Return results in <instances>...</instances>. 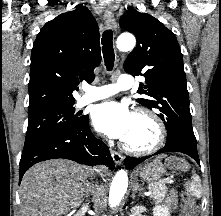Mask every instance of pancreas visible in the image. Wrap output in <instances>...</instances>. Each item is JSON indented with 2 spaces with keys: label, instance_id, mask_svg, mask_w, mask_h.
<instances>
[{
  "label": "pancreas",
  "instance_id": "obj_1",
  "mask_svg": "<svg viewBox=\"0 0 221 216\" xmlns=\"http://www.w3.org/2000/svg\"><path fill=\"white\" fill-rule=\"evenodd\" d=\"M148 189L151 191V198L156 203L163 201L168 191L167 186L163 182L150 185Z\"/></svg>",
  "mask_w": 221,
  "mask_h": 216
}]
</instances>
